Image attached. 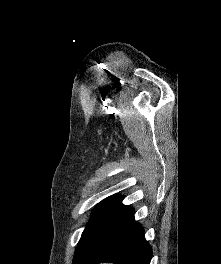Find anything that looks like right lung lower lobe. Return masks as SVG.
Wrapping results in <instances>:
<instances>
[{
	"instance_id": "98d812e1",
	"label": "right lung lower lobe",
	"mask_w": 221,
	"mask_h": 264,
	"mask_svg": "<svg viewBox=\"0 0 221 264\" xmlns=\"http://www.w3.org/2000/svg\"><path fill=\"white\" fill-rule=\"evenodd\" d=\"M121 201L111 208L73 264H150L152 250L143 228L134 220L133 208Z\"/></svg>"
}]
</instances>
